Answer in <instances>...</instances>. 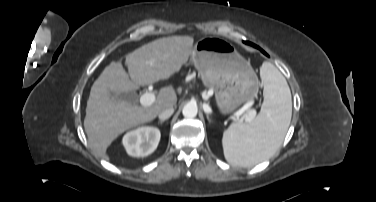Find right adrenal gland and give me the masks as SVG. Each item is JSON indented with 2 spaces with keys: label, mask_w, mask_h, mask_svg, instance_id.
Returning a JSON list of instances; mask_svg holds the SVG:
<instances>
[{
  "label": "right adrenal gland",
  "mask_w": 376,
  "mask_h": 202,
  "mask_svg": "<svg viewBox=\"0 0 376 202\" xmlns=\"http://www.w3.org/2000/svg\"><path fill=\"white\" fill-rule=\"evenodd\" d=\"M164 122V120H160L159 123L162 124Z\"/></svg>",
  "instance_id": "1"
}]
</instances>
